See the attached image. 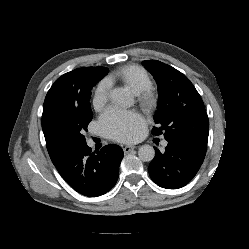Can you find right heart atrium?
<instances>
[{
    "mask_svg": "<svg viewBox=\"0 0 249 249\" xmlns=\"http://www.w3.org/2000/svg\"><path fill=\"white\" fill-rule=\"evenodd\" d=\"M112 82L108 78L102 79L95 88L93 103L96 108L103 107L109 100Z\"/></svg>",
    "mask_w": 249,
    "mask_h": 249,
    "instance_id": "d8ad5b80",
    "label": "right heart atrium"
}]
</instances>
